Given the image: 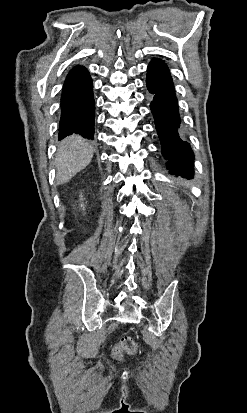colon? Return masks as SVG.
<instances>
[{
  "label": "colon",
  "mask_w": 247,
  "mask_h": 413,
  "mask_svg": "<svg viewBox=\"0 0 247 413\" xmlns=\"http://www.w3.org/2000/svg\"><path fill=\"white\" fill-rule=\"evenodd\" d=\"M112 349L114 350V357L122 355H143L145 353V348L140 346L131 337L122 338L121 342H114L112 344Z\"/></svg>",
  "instance_id": "obj_1"
}]
</instances>
